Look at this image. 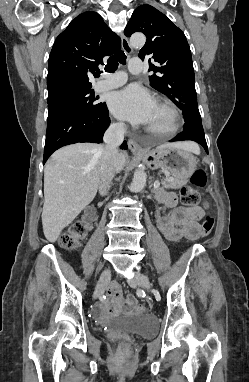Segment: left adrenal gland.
Masks as SVG:
<instances>
[{
  "label": "left adrenal gland",
  "mask_w": 249,
  "mask_h": 382,
  "mask_svg": "<svg viewBox=\"0 0 249 382\" xmlns=\"http://www.w3.org/2000/svg\"><path fill=\"white\" fill-rule=\"evenodd\" d=\"M152 187V185H150V188ZM151 191H153L152 189H151Z\"/></svg>",
  "instance_id": "1"
}]
</instances>
